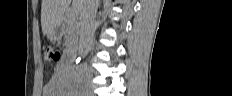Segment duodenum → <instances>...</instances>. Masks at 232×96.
Segmentation results:
<instances>
[{
    "mask_svg": "<svg viewBox=\"0 0 232 96\" xmlns=\"http://www.w3.org/2000/svg\"><path fill=\"white\" fill-rule=\"evenodd\" d=\"M65 60L68 61H74V54L72 52H67L65 54Z\"/></svg>",
    "mask_w": 232,
    "mask_h": 96,
    "instance_id": "1",
    "label": "duodenum"
}]
</instances>
